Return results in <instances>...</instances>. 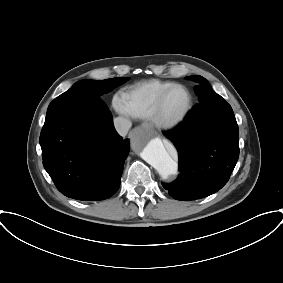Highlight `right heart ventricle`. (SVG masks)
Here are the masks:
<instances>
[{
	"label": "right heart ventricle",
	"mask_w": 283,
	"mask_h": 283,
	"mask_svg": "<svg viewBox=\"0 0 283 283\" xmlns=\"http://www.w3.org/2000/svg\"><path fill=\"white\" fill-rule=\"evenodd\" d=\"M173 84L160 79L147 80L125 91L121 99L129 115L137 119H148L159 95Z\"/></svg>",
	"instance_id": "1"
}]
</instances>
